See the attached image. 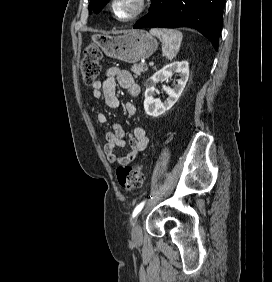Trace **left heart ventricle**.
Here are the masks:
<instances>
[{
	"instance_id": "obj_1",
	"label": "left heart ventricle",
	"mask_w": 272,
	"mask_h": 282,
	"mask_svg": "<svg viewBox=\"0 0 272 282\" xmlns=\"http://www.w3.org/2000/svg\"><path fill=\"white\" fill-rule=\"evenodd\" d=\"M137 7V0H119L116 10L119 17L125 18L133 14Z\"/></svg>"
}]
</instances>
